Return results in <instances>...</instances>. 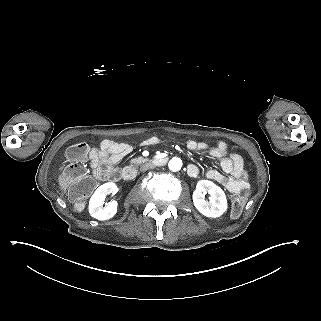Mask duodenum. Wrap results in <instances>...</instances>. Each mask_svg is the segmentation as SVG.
<instances>
[{
  "instance_id": "410a0bca",
  "label": "duodenum",
  "mask_w": 321,
  "mask_h": 321,
  "mask_svg": "<svg viewBox=\"0 0 321 321\" xmlns=\"http://www.w3.org/2000/svg\"><path fill=\"white\" fill-rule=\"evenodd\" d=\"M166 162H167V158H164V157L155 158L152 161V163L156 166H163L166 164ZM135 176H136V169L132 166H128L124 168L120 174V177L124 181H131L135 178Z\"/></svg>"
}]
</instances>
